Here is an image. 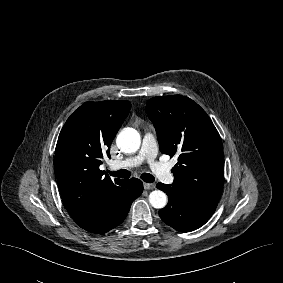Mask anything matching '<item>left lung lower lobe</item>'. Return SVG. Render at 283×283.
<instances>
[{"label":"left lung lower lobe","instance_id":"left-lung-lower-lobe-1","mask_svg":"<svg viewBox=\"0 0 283 283\" xmlns=\"http://www.w3.org/2000/svg\"><path fill=\"white\" fill-rule=\"evenodd\" d=\"M157 188L169 198L167 206L159 211V215L166 224L178 231L190 232L201 227L216 209V206L194 199L182 188L163 183H158Z\"/></svg>","mask_w":283,"mask_h":283}]
</instances>
